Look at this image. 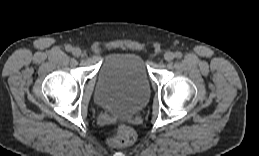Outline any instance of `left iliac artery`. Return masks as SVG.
Listing matches in <instances>:
<instances>
[{"instance_id": "left-iliac-artery-1", "label": "left iliac artery", "mask_w": 259, "mask_h": 156, "mask_svg": "<svg viewBox=\"0 0 259 156\" xmlns=\"http://www.w3.org/2000/svg\"><path fill=\"white\" fill-rule=\"evenodd\" d=\"M175 57L180 59L182 57V53L181 52H176L175 53Z\"/></svg>"}]
</instances>
